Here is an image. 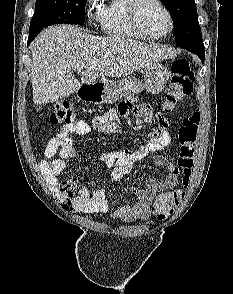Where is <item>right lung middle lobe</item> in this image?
<instances>
[{"label":"right lung middle lobe","instance_id":"right-lung-middle-lobe-1","mask_svg":"<svg viewBox=\"0 0 233 294\" xmlns=\"http://www.w3.org/2000/svg\"><path fill=\"white\" fill-rule=\"evenodd\" d=\"M87 0H36L29 37L53 24L83 25Z\"/></svg>","mask_w":233,"mask_h":294}]
</instances>
